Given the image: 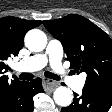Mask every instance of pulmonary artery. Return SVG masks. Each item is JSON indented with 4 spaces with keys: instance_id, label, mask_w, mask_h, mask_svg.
<instances>
[{
    "instance_id": "obj_1",
    "label": "pulmonary artery",
    "mask_w": 112,
    "mask_h": 112,
    "mask_svg": "<svg viewBox=\"0 0 112 112\" xmlns=\"http://www.w3.org/2000/svg\"><path fill=\"white\" fill-rule=\"evenodd\" d=\"M62 56V43L52 39L49 41L44 53L31 56L26 60L16 63L14 68L21 72L37 71L47 64H50L52 69L56 71L73 90L80 91L83 87V79L79 76H68L61 65Z\"/></svg>"
}]
</instances>
